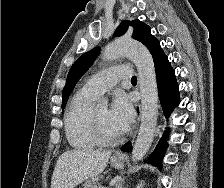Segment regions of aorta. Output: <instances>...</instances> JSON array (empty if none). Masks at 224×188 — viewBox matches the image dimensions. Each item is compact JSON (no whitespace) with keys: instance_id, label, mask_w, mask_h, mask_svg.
<instances>
[{"instance_id":"762f6f07","label":"aorta","mask_w":224,"mask_h":188,"mask_svg":"<svg viewBox=\"0 0 224 188\" xmlns=\"http://www.w3.org/2000/svg\"><path fill=\"white\" fill-rule=\"evenodd\" d=\"M120 56L128 57L137 67L141 92V124L133 147L132 159L138 161L149 150L157 123L158 89L152 56L141 43L119 38L108 44L103 52L104 61L114 60ZM103 100L100 105H106Z\"/></svg>"}]
</instances>
